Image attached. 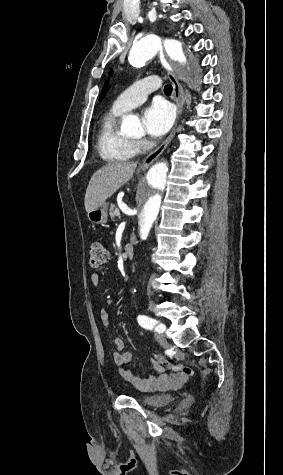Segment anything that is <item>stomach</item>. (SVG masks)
<instances>
[{
    "instance_id": "1",
    "label": "stomach",
    "mask_w": 283,
    "mask_h": 475,
    "mask_svg": "<svg viewBox=\"0 0 283 475\" xmlns=\"http://www.w3.org/2000/svg\"><path fill=\"white\" fill-rule=\"evenodd\" d=\"M141 170H144V168H141ZM108 204L104 202V204H101L99 208H96V210H92V212H88L87 218L92 222V224H106L108 220Z\"/></svg>"
}]
</instances>
